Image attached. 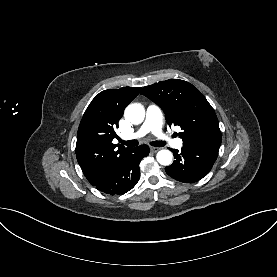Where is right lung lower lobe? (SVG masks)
<instances>
[{
	"instance_id": "1",
	"label": "right lung lower lobe",
	"mask_w": 277,
	"mask_h": 277,
	"mask_svg": "<svg viewBox=\"0 0 277 277\" xmlns=\"http://www.w3.org/2000/svg\"><path fill=\"white\" fill-rule=\"evenodd\" d=\"M149 154V147L141 145L132 148L111 172L93 186L110 195H123L131 190L140 178L139 163Z\"/></svg>"
}]
</instances>
